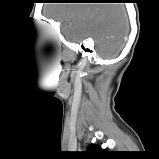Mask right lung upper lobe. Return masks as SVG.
I'll use <instances>...</instances> for the list:
<instances>
[{
	"label": "right lung upper lobe",
	"instance_id": "right-lung-upper-lobe-1",
	"mask_svg": "<svg viewBox=\"0 0 159 159\" xmlns=\"http://www.w3.org/2000/svg\"><path fill=\"white\" fill-rule=\"evenodd\" d=\"M101 152H102V149L96 145H89L87 148V153L94 156L100 154Z\"/></svg>",
	"mask_w": 159,
	"mask_h": 159
}]
</instances>
